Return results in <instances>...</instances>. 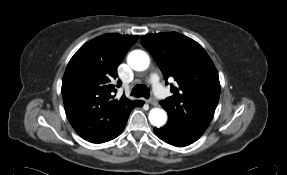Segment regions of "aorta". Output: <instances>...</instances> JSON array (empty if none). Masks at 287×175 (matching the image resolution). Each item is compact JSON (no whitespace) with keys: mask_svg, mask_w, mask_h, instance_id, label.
I'll return each mask as SVG.
<instances>
[{"mask_svg":"<svg viewBox=\"0 0 287 175\" xmlns=\"http://www.w3.org/2000/svg\"><path fill=\"white\" fill-rule=\"evenodd\" d=\"M127 63L135 71H144L150 65V58L146 52L134 50L129 53ZM148 119L153 126L161 127L167 121V113L164 109L153 108L149 112Z\"/></svg>","mask_w":287,"mask_h":175,"instance_id":"762f6f07","label":"aorta"}]
</instances>
